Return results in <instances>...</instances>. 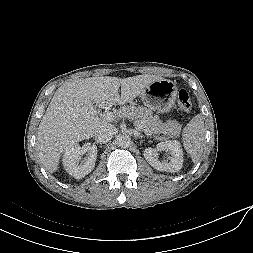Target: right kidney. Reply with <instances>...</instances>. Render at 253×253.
I'll return each mask as SVG.
<instances>
[{"label":"right kidney","instance_id":"right-kidney-1","mask_svg":"<svg viewBox=\"0 0 253 253\" xmlns=\"http://www.w3.org/2000/svg\"><path fill=\"white\" fill-rule=\"evenodd\" d=\"M87 154L83 160L81 156ZM97 158V147L86 143L82 147L78 144L68 146L63 155L64 169L76 179H81L89 174L94 166ZM81 161V163H79Z\"/></svg>","mask_w":253,"mask_h":253}]
</instances>
